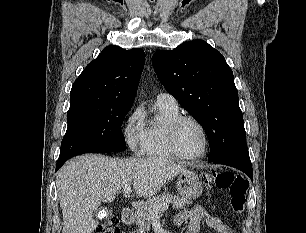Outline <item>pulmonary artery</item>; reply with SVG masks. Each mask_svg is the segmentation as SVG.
<instances>
[{
	"instance_id": "pulmonary-artery-1",
	"label": "pulmonary artery",
	"mask_w": 306,
	"mask_h": 233,
	"mask_svg": "<svg viewBox=\"0 0 306 233\" xmlns=\"http://www.w3.org/2000/svg\"><path fill=\"white\" fill-rule=\"evenodd\" d=\"M156 103L178 106L177 100L169 93H159L156 97Z\"/></svg>"
}]
</instances>
